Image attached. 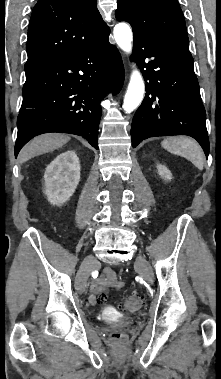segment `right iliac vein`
I'll return each mask as SVG.
<instances>
[{
	"instance_id": "1",
	"label": "right iliac vein",
	"mask_w": 221,
	"mask_h": 379,
	"mask_svg": "<svg viewBox=\"0 0 221 379\" xmlns=\"http://www.w3.org/2000/svg\"><path fill=\"white\" fill-rule=\"evenodd\" d=\"M95 262H96V259L93 255L87 256L83 261V264H82L81 269L78 273V276L76 278V283H75V287H76L77 291H79L80 293H82L85 289L86 281L89 277V274H90Z\"/></svg>"
}]
</instances>
